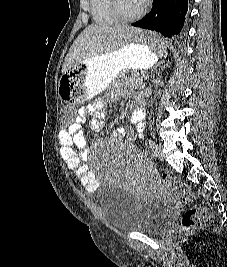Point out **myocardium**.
<instances>
[{"label": "myocardium", "instance_id": "myocardium-1", "mask_svg": "<svg viewBox=\"0 0 227 267\" xmlns=\"http://www.w3.org/2000/svg\"><path fill=\"white\" fill-rule=\"evenodd\" d=\"M109 2L113 14L123 22H133L138 20L145 14L147 10L146 4H143L141 9L137 13L129 15L123 11L121 7V0H109Z\"/></svg>", "mask_w": 227, "mask_h": 267}]
</instances>
